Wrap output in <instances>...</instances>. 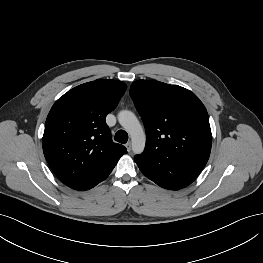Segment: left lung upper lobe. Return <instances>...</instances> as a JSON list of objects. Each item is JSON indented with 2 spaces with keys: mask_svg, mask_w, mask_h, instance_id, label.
I'll list each match as a JSON object with an SVG mask.
<instances>
[{
  "mask_svg": "<svg viewBox=\"0 0 263 263\" xmlns=\"http://www.w3.org/2000/svg\"><path fill=\"white\" fill-rule=\"evenodd\" d=\"M130 96L146 128L141 155L173 159L202 170L212 145L208 113L191 91L153 80H138Z\"/></svg>",
  "mask_w": 263,
  "mask_h": 263,
  "instance_id": "1",
  "label": "left lung upper lobe"
}]
</instances>
